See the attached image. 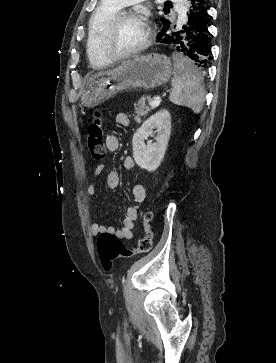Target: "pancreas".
Returning a JSON list of instances; mask_svg holds the SVG:
<instances>
[{"label": "pancreas", "instance_id": "cf45deb5", "mask_svg": "<svg viewBox=\"0 0 276 363\" xmlns=\"http://www.w3.org/2000/svg\"><path fill=\"white\" fill-rule=\"evenodd\" d=\"M146 101L150 102L151 99L149 97H142L135 105H134V109H135V115H134V120L136 122H140L141 117L147 115V113L149 111H151V109H153V107H149L148 105H146Z\"/></svg>", "mask_w": 276, "mask_h": 363}]
</instances>
